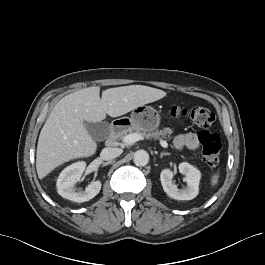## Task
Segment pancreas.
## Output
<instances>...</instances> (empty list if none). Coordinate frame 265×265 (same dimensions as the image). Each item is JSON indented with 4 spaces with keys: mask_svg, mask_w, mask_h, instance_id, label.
Instances as JSON below:
<instances>
[{
    "mask_svg": "<svg viewBox=\"0 0 265 265\" xmlns=\"http://www.w3.org/2000/svg\"><path fill=\"white\" fill-rule=\"evenodd\" d=\"M133 130L139 133L143 138L146 139L153 138L155 140L160 138H166V136L170 138V135L172 134V130L170 128H164L163 130H155L151 132H146V131L141 132V130L130 128L127 131L118 134L117 138L123 139L126 136L127 132H132Z\"/></svg>",
    "mask_w": 265,
    "mask_h": 265,
    "instance_id": "obj_1",
    "label": "pancreas"
}]
</instances>
